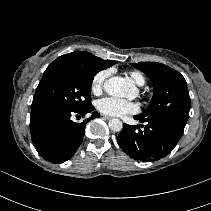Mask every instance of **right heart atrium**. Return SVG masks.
Wrapping results in <instances>:
<instances>
[{
  "label": "right heart atrium",
  "mask_w": 211,
  "mask_h": 211,
  "mask_svg": "<svg viewBox=\"0 0 211 211\" xmlns=\"http://www.w3.org/2000/svg\"><path fill=\"white\" fill-rule=\"evenodd\" d=\"M109 75L108 70H102L98 72L92 79L91 82V90L94 93H99L102 91L105 80L107 79Z\"/></svg>",
  "instance_id": "obj_1"
}]
</instances>
